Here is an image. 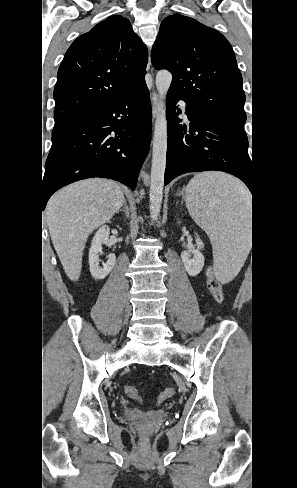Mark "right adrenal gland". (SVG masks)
<instances>
[{
    "label": "right adrenal gland",
    "mask_w": 297,
    "mask_h": 488,
    "mask_svg": "<svg viewBox=\"0 0 297 488\" xmlns=\"http://www.w3.org/2000/svg\"><path fill=\"white\" fill-rule=\"evenodd\" d=\"M123 205L124 206L122 208H120L119 210H117V213L123 212L125 214L126 218L129 219V217H130V211H129V207L127 205V202L125 200L123 202Z\"/></svg>",
    "instance_id": "2a0ac1e0"
}]
</instances>
